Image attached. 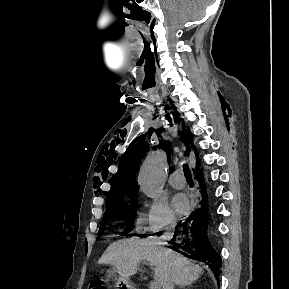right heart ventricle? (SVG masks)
Instances as JSON below:
<instances>
[{"instance_id": "1", "label": "right heart ventricle", "mask_w": 289, "mask_h": 289, "mask_svg": "<svg viewBox=\"0 0 289 289\" xmlns=\"http://www.w3.org/2000/svg\"><path fill=\"white\" fill-rule=\"evenodd\" d=\"M144 224V215L142 213H138L137 219H136V225L139 230L142 229V225Z\"/></svg>"}]
</instances>
